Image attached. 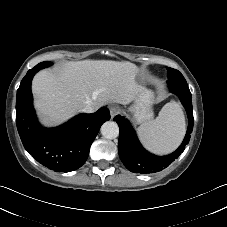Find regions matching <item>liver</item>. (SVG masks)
Returning <instances> with one entry per match:
<instances>
[{"mask_svg": "<svg viewBox=\"0 0 227 227\" xmlns=\"http://www.w3.org/2000/svg\"><path fill=\"white\" fill-rule=\"evenodd\" d=\"M138 67L128 61L83 60L66 62L54 70H41L32 83L35 108L45 125L65 122L92 104L123 105L141 92Z\"/></svg>", "mask_w": 227, "mask_h": 227, "instance_id": "1", "label": "liver"}]
</instances>
